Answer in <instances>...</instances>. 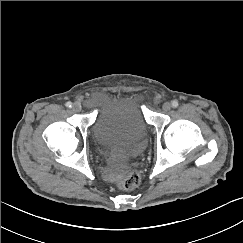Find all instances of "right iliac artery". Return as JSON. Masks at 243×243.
Returning <instances> with one entry per match:
<instances>
[{
  "instance_id": "82829eb1",
  "label": "right iliac artery",
  "mask_w": 243,
  "mask_h": 243,
  "mask_svg": "<svg viewBox=\"0 0 243 243\" xmlns=\"http://www.w3.org/2000/svg\"><path fill=\"white\" fill-rule=\"evenodd\" d=\"M66 107H68V108H72V103H71V102H67V103H66Z\"/></svg>"
}]
</instances>
